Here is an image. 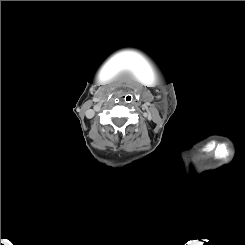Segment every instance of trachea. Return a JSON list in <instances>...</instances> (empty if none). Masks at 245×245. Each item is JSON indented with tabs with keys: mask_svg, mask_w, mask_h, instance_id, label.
<instances>
[{
	"mask_svg": "<svg viewBox=\"0 0 245 245\" xmlns=\"http://www.w3.org/2000/svg\"><path fill=\"white\" fill-rule=\"evenodd\" d=\"M125 102L126 103H130L132 101V96L131 95H127L125 98H124Z\"/></svg>",
	"mask_w": 245,
	"mask_h": 245,
	"instance_id": "trachea-1",
	"label": "trachea"
}]
</instances>
